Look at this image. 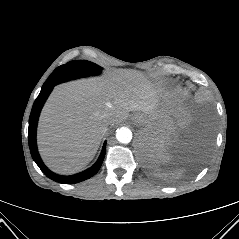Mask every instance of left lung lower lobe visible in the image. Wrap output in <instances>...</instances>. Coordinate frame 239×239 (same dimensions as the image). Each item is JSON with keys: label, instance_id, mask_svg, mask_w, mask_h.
Wrapping results in <instances>:
<instances>
[{"label": "left lung lower lobe", "instance_id": "obj_1", "mask_svg": "<svg viewBox=\"0 0 239 239\" xmlns=\"http://www.w3.org/2000/svg\"><path fill=\"white\" fill-rule=\"evenodd\" d=\"M158 147L155 142H145L143 144V150L147 161L155 163L157 161Z\"/></svg>", "mask_w": 239, "mask_h": 239}]
</instances>
